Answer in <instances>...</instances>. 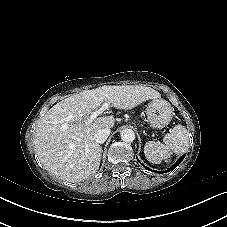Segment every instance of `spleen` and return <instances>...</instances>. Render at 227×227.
Here are the masks:
<instances>
[{
    "label": "spleen",
    "instance_id": "obj_1",
    "mask_svg": "<svg viewBox=\"0 0 227 227\" xmlns=\"http://www.w3.org/2000/svg\"><path fill=\"white\" fill-rule=\"evenodd\" d=\"M163 142L164 144L155 141L146 142L144 154L149 162L153 164L169 162L173 153L179 155L186 152L189 146V132L185 126L178 124L164 136Z\"/></svg>",
    "mask_w": 227,
    "mask_h": 227
}]
</instances>
